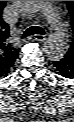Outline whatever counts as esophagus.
<instances>
[{
	"label": "esophagus",
	"mask_w": 74,
	"mask_h": 122,
	"mask_svg": "<svg viewBox=\"0 0 74 122\" xmlns=\"http://www.w3.org/2000/svg\"><path fill=\"white\" fill-rule=\"evenodd\" d=\"M36 41H45L46 40V35H35L34 37H33Z\"/></svg>",
	"instance_id": "34e87169"
}]
</instances>
